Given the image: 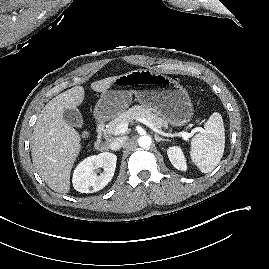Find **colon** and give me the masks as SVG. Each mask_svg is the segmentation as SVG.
Wrapping results in <instances>:
<instances>
[{
  "instance_id": "colon-1",
  "label": "colon",
  "mask_w": 269,
  "mask_h": 269,
  "mask_svg": "<svg viewBox=\"0 0 269 269\" xmlns=\"http://www.w3.org/2000/svg\"><path fill=\"white\" fill-rule=\"evenodd\" d=\"M87 136H88V133L87 132H83L82 137L83 138H86Z\"/></svg>"
}]
</instances>
